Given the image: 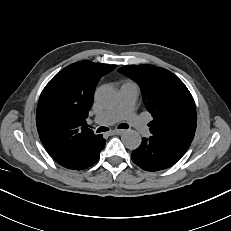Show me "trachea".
Wrapping results in <instances>:
<instances>
[{"label":"trachea","mask_w":231,"mask_h":231,"mask_svg":"<svg viewBox=\"0 0 231 231\" xmlns=\"http://www.w3.org/2000/svg\"><path fill=\"white\" fill-rule=\"evenodd\" d=\"M118 128H120V129H127V128H129V125L126 124V123H122V124H120L118 126ZM108 130L109 129L107 127H99V128H97L96 132L100 133V132H105V131H108Z\"/></svg>","instance_id":"3493384b"}]
</instances>
